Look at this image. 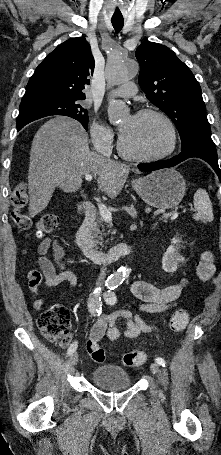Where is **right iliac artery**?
<instances>
[{"instance_id":"1","label":"right iliac artery","mask_w":221,"mask_h":455,"mask_svg":"<svg viewBox=\"0 0 221 455\" xmlns=\"http://www.w3.org/2000/svg\"><path fill=\"white\" fill-rule=\"evenodd\" d=\"M101 288H96L94 292L92 293V296L88 300V309L91 315L96 316L101 314V309H102V302H101ZM77 342H74L70 345L67 355H71L74 353L77 349Z\"/></svg>"}]
</instances>
